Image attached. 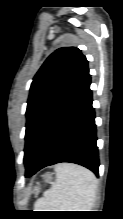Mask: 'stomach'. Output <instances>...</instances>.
<instances>
[{"label": "stomach", "mask_w": 123, "mask_h": 219, "mask_svg": "<svg viewBox=\"0 0 123 219\" xmlns=\"http://www.w3.org/2000/svg\"><path fill=\"white\" fill-rule=\"evenodd\" d=\"M43 179L46 183H50V184H53V176L52 174L50 173H46L43 175ZM39 190H40V187L37 186L35 187V193L38 194L39 193Z\"/></svg>", "instance_id": "obj_1"}]
</instances>
